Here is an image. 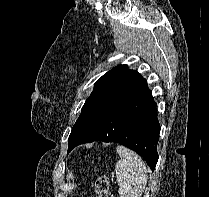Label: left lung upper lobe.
Masks as SVG:
<instances>
[{
    "label": "left lung upper lobe",
    "mask_w": 209,
    "mask_h": 197,
    "mask_svg": "<svg viewBox=\"0 0 209 197\" xmlns=\"http://www.w3.org/2000/svg\"><path fill=\"white\" fill-rule=\"evenodd\" d=\"M142 79L137 71L129 70L127 65H118L99 78L72 128L68 151L110 104Z\"/></svg>",
    "instance_id": "1"
}]
</instances>
